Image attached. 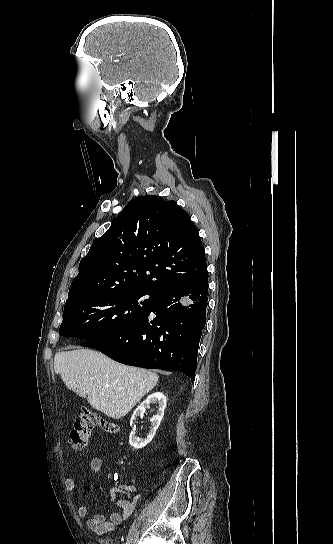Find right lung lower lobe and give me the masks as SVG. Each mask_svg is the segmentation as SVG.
I'll list each match as a JSON object with an SVG mask.
<instances>
[{
    "label": "right lung lower lobe",
    "mask_w": 333,
    "mask_h": 544,
    "mask_svg": "<svg viewBox=\"0 0 333 544\" xmlns=\"http://www.w3.org/2000/svg\"><path fill=\"white\" fill-rule=\"evenodd\" d=\"M207 271L197 279L156 294L152 307L133 325L89 340L95 348L131 366L181 371L194 381L197 353L206 323Z\"/></svg>",
    "instance_id": "right-lung-lower-lobe-1"
}]
</instances>
